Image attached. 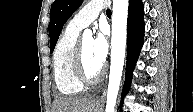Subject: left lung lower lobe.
I'll return each instance as SVG.
<instances>
[{
    "instance_id": "obj_1",
    "label": "left lung lower lobe",
    "mask_w": 193,
    "mask_h": 112,
    "mask_svg": "<svg viewBox=\"0 0 193 112\" xmlns=\"http://www.w3.org/2000/svg\"><path fill=\"white\" fill-rule=\"evenodd\" d=\"M144 29V6L142 0H129L127 21V65L126 80L122 92L123 96L128 92L132 71L143 45Z\"/></svg>"
}]
</instances>
